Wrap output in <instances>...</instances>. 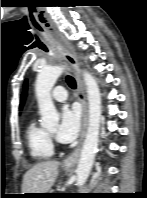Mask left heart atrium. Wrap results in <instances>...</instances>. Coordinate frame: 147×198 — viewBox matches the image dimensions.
Here are the masks:
<instances>
[{
  "instance_id": "39dd6f15",
  "label": "left heart atrium",
  "mask_w": 147,
  "mask_h": 198,
  "mask_svg": "<svg viewBox=\"0 0 147 198\" xmlns=\"http://www.w3.org/2000/svg\"><path fill=\"white\" fill-rule=\"evenodd\" d=\"M80 129V113L75 107H64L61 111L60 124L56 130V137L60 142L72 141Z\"/></svg>"
}]
</instances>
